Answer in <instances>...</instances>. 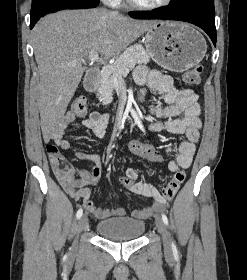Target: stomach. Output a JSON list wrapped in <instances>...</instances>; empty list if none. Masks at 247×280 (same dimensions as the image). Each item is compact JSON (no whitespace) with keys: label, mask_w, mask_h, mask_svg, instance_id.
<instances>
[{"label":"stomach","mask_w":247,"mask_h":280,"mask_svg":"<svg viewBox=\"0 0 247 280\" xmlns=\"http://www.w3.org/2000/svg\"><path fill=\"white\" fill-rule=\"evenodd\" d=\"M145 46L155 63L172 72H184L205 56L202 34L189 24L159 21L146 34Z\"/></svg>","instance_id":"stomach-1"}]
</instances>
